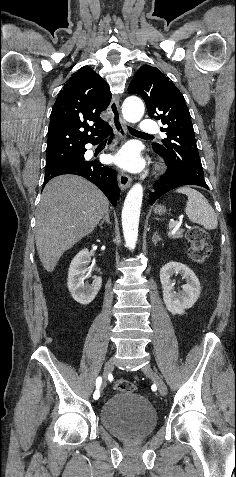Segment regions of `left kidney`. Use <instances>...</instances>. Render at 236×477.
I'll use <instances>...</instances> for the list:
<instances>
[{
	"instance_id": "1",
	"label": "left kidney",
	"mask_w": 236,
	"mask_h": 477,
	"mask_svg": "<svg viewBox=\"0 0 236 477\" xmlns=\"http://www.w3.org/2000/svg\"><path fill=\"white\" fill-rule=\"evenodd\" d=\"M180 274L186 284L182 291H174V282L171 277ZM160 281L163 288V301L166 308L173 315L184 314L186 309L191 308L200 296V282L194 272L186 265L178 262H169L160 270Z\"/></svg>"
}]
</instances>
